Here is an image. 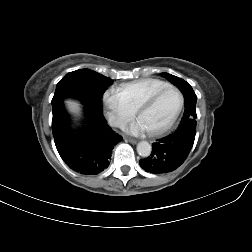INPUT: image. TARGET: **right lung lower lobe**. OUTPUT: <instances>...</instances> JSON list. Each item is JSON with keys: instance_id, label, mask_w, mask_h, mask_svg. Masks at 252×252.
<instances>
[{"instance_id": "right-lung-lower-lobe-1", "label": "right lung lower lobe", "mask_w": 252, "mask_h": 252, "mask_svg": "<svg viewBox=\"0 0 252 252\" xmlns=\"http://www.w3.org/2000/svg\"><path fill=\"white\" fill-rule=\"evenodd\" d=\"M84 109L85 125L73 130L64 105L53 107L52 132L59 155L71 169L96 175L108 167L114 146L123 138L107 125L102 110Z\"/></svg>"}]
</instances>
